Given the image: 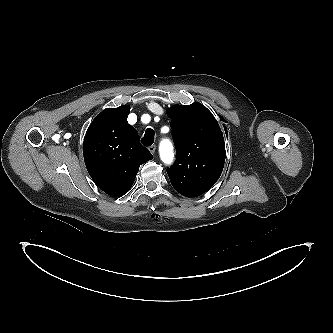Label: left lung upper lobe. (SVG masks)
Instances as JSON below:
<instances>
[{"instance_id":"obj_1","label":"left lung upper lobe","mask_w":333,"mask_h":333,"mask_svg":"<svg viewBox=\"0 0 333 333\" xmlns=\"http://www.w3.org/2000/svg\"><path fill=\"white\" fill-rule=\"evenodd\" d=\"M172 119L176 162L167 170L174 189L197 197L219 179L225 162L222 131L212 113L202 104L174 105L167 109Z\"/></svg>"}]
</instances>
